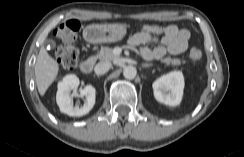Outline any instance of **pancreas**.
I'll return each instance as SVG.
<instances>
[{"instance_id":"cf45deb5","label":"pancreas","mask_w":244,"mask_h":157,"mask_svg":"<svg viewBox=\"0 0 244 157\" xmlns=\"http://www.w3.org/2000/svg\"><path fill=\"white\" fill-rule=\"evenodd\" d=\"M95 58L101 60V61H113L119 58V56L115 55L113 53V49L109 48V47H103L101 49V51L95 56ZM162 63H165L167 65H173V66H177V65H181L184 64L185 61L184 60H180L179 58H171L166 57L160 60Z\"/></svg>"}]
</instances>
